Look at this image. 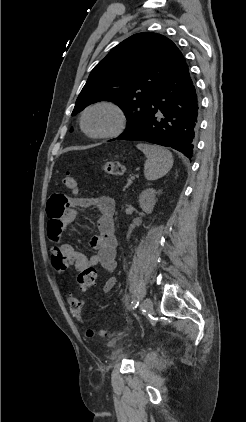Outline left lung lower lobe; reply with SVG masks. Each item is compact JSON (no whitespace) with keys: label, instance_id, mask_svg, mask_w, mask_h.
<instances>
[{"label":"left lung lower lobe","instance_id":"obj_1","mask_svg":"<svg viewBox=\"0 0 246 422\" xmlns=\"http://www.w3.org/2000/svg\"><path fill=\"white\" fill-rule=\"evenodd\" d=\"M199 113V96L182 56L177 68L151 98L141 122L117 139L171 147L192 160L199 130Z\"/></svg>","mask_w":246,"mask_h":422}]
</instances>
